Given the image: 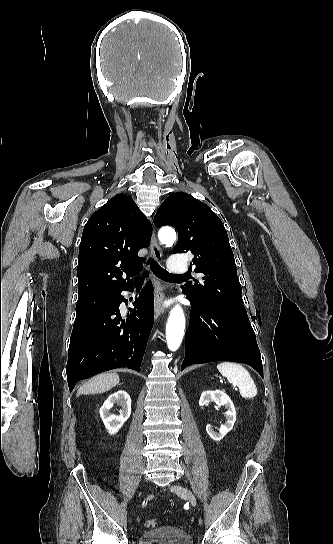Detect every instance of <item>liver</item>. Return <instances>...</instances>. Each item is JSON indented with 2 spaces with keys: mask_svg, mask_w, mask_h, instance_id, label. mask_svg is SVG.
<instances>
[{
  "mask_svg": "<svg viewBox=\"0 0 333 544\" xmlns=\"http://www.w3.org/2000/svg\"><path fill=\"white\" fill-rule=\"evenodd\" d=\"M120 378L116 373L99 374L83 384L77 394H96L110 390L119 384Z\"/></svg>",
  "mask_w": 333,
  "mask_h": 544,
  "instance_id": "liver-1",
  "label": "liver"
}]
</instances>
